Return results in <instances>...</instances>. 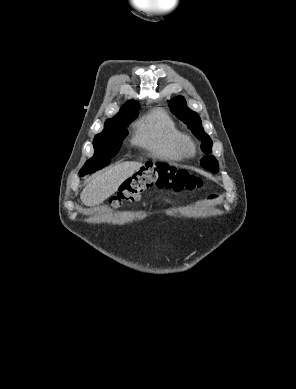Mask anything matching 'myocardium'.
<instances>
[{
    "mask_svg": "<svg viewBox=\"0 0 296 389\" xmlns=\"http://www.w3.org/2000/svg\"><path fill=\"white\" fill-rule=\"evenodd\" d=\"M179 150L184 158L193 157L197 147L194 140L188 135H182L179 141Z\"/></svg>",
    "mask_w": 296,
    "mask_h": 389,
    "instance_id": "myocardium-1",
    "label": "myocardium"
}]
</instances>
